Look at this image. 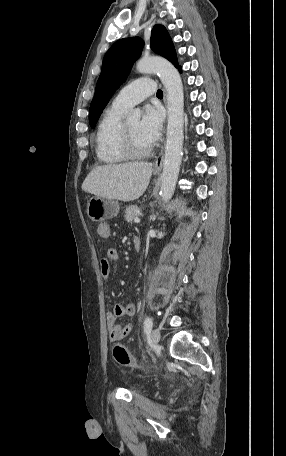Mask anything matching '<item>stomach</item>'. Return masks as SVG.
<instances>
[{
  "label": "stomach",
  "instance_id": "1",
  "mask_svg": "<svg viewBox=\"0 0 286 456\" xmlns=\"http://www.w3.org/2000/svg\"><path fill=\"white\" fill-rule=\"evenodd\" d=\"M120 210L119 203L113 199L92 197L87 204V215L95 222L114 218Z\"/></svg>",
  "mask_w": 286,
  "mask_h": 456
}]
</instances>
